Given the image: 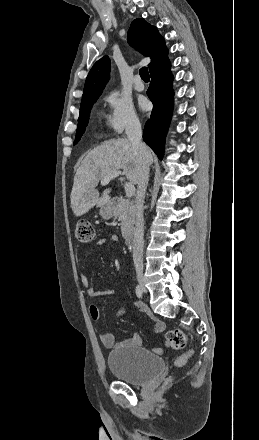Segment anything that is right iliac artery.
Returning a JSON list of instances; mask_svg holds the SVG:
<instances>
[{"instance_id": "82829eb1", "label": "right iliac artery", "mask_w": 259, "mask_h": 440, "mask_svg": "<svg viewBox=\"0 0 259 440\" xmlns=\"http://www.w3.org/2000/svg\"><path fill=\"white\" fill-rule=\"evenodd\" d=\"M135 291H136L137 297L141 298L142 297V290L139 285L136 286Z\"/></svg>"}]
</instances>
